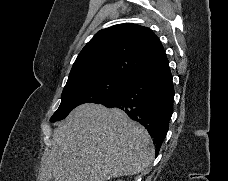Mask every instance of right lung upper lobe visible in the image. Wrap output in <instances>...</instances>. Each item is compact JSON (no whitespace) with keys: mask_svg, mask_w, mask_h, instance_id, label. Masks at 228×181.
Segmentation results:
<instances>
[{"mask_svg":"<svg viewBox=\"0 0 228 181\" xmlns=\"http://www.w3.org/2000/svg\"><path fill=\"white\" fill-rule=\"evenodd\" d=\"M166 59L162 44L149 28L119 24L98 31L86 44L67 82L98 74L132 78Z\"/></svg>","mask_w":228,"mask_h":181,"instance_id":"right-lung-upper-lobe-1","label":"right lung upper lobe"}]
</instances>
